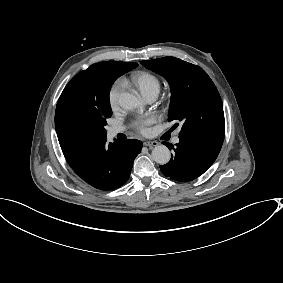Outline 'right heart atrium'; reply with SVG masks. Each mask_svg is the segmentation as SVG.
I'll return each instance as SVG.
<instances>
[{
  "instance_id": "obj_1",
  "label": "right heart atrium",
  "mask_w": 283,
  "mask_h": 283,
  "mask_svg": "<svg viewBox=\"0 0 283 283\" xmlns=\"http://www.w3.org/2000/svg\"><path fill=\"white\" fill-rule=\"evenodd\" d=\"M124 86L120 80H114L107 89V101L110 109L115 110L119 106V99Z\"/></svg>"
}]
</instances>
